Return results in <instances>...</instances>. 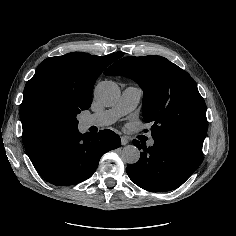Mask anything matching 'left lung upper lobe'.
<instances>
[{
  "instance_id": "obj_1",
  "label": "left lung upper lobe",
  "mask_w": 236,
  "mask_h": 236,
  "mask_svg": "<svg viewBox=\"0 0 236 236\" xmlns=\"http://www.w3.org/2000/svg\"><path fill=\"white\" fill-rule=\"evenodd\" d=\"M137 82L144 91L143 117L152 137L165 135L202 148L207 134L205 101L191 76L161 56L125 57L105 72Z\"/></svg>"
}]
</instances>
